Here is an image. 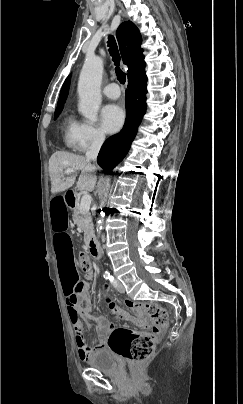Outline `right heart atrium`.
<instances>
[{
  "instance_id": "d8ad5b80",
  "label": "right heart atrium",
  "mask_w": 243,
  "mask_h": 404,
  "mask_svg": "<svg viewBox=\"0 0 243 404\" xmlns=\"http://www.w3.org/2000/svg\"><path fill=\"white\" fill-rule=\"evenodd\" d=\"M105 141V135L94 124L88 121H75L72 128L68 147L77 153L100 148Z\"/></svg>"
}]
</instances>
